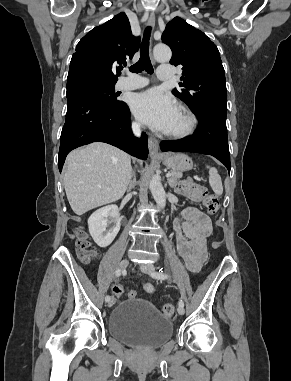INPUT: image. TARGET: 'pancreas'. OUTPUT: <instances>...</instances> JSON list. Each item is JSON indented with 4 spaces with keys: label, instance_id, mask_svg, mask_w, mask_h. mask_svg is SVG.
I'll list each match as a JSON object with an SVG mask.
<instances>
[{
    "label": "pancreas",
    "instance_id": "pancreas-1",
    "mask_svg": "<svg viewBox=\"0 0 291 381\" xmlns=\"http://www.w3.org/2000/svg\"><path fill=\"white\" fill-rule=\"evenodd\" d=\"M171 177L168 179V183L171 187H174L177 183V180L182 177V172L180 171H171Z\"/></svg>",
    "mask_w": 291,
    "mask_h": 381
}]
</instances>
